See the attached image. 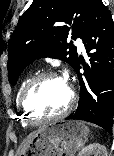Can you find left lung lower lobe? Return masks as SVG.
<instances>
[{
    "label": "left lung lower lobe",
    "mask_w": 114,
    "mask_h": 156,
    "mask_svg": "<svg viewBox=\"0 0 114 156\" xmlns=\"http://www.w3.org/2000/svg\"><path fill=\"white\" fill-rule=\"evenodd\" d=\"M81 39L90 56L89 64L77 62L80 99L77 110L66 119L97 124L112 134L114 116V22L100 0ZM93 51L92 53H89ZM81 64L84 74L79 72Z\"/></svg>",
    "instance_id": "left-lung-lower-lobe-1"
}]
</instances>
